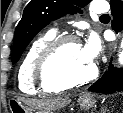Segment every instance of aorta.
I'll list each match as a JSON object with an SVG mask.
<instances>
[{
    "instance_id": "aorta-1",
    "label": "aorta",
    "mask_w": 123,
    "mask_h": 113,
    "mask_svg": "<svg viewBox=\"0 0 123 113\" xmlns=\"http://www.w3.org/2000/svg\"><path fill=\"white\" fill-rule=\"evenodd\" d=\"M120 48H121V51L119 52V63L123 65V39H122Z\"/></svg>"
}]
</instances>
